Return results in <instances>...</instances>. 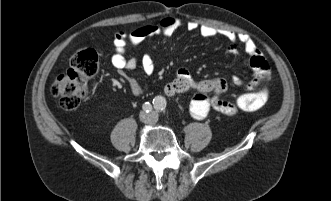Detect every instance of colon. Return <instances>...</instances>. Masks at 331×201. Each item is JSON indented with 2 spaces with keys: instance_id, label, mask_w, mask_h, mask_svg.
Listing matches in <instances>:
<instances>
[{
  "instance_id": "1",
  "label": "colon",
  "mask_w": 331,
  "mask_h": 201,
  "mask_svg": "<svg viewBox=\"0 0 331 201\" xmlns=\"http://www.w3.org/2000/svg\"><path fill=\"white\" fill-rule=\"evenodd\" d=\"M98 69V55L91 48L83 49L72 57L69 68L51 86V93L59 99L63 109H75L86 99L95 86ZM268 97L267 90L262 89L240 95L234 103L240 111H256L266 104Z\"/></svg>"
}]
</instances>
